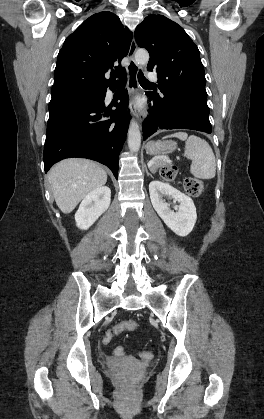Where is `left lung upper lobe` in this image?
I'll return each mask as SVG.
<instances>
[{
	"label": "left lung upper lobe",
	"mask_w": 264,
	"mask_h": 419,
	"mask_svg": "<svg viewBox=\"0 0 264 419\" xmlns=\"http://www.w3.org/2000/svg\"><path fill=\"white\" fill-rule=\"evenodd\" d=\"M139 47L147 49L149 71H156L158 84L169 90L183 85L188 90L205 86L199 50L184 29L163 15H149L135 30Z\"/></svg>",
	"instance_id": "5c2ea615"
}]
</instances>
